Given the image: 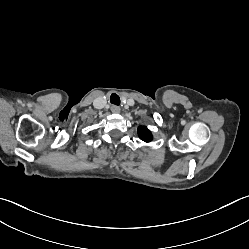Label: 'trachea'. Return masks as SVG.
Instances as JSON below:
<instances>
[{"label":"trachea","instance_id":"trachea-1","mask_svg":"<svg viewBox=\"0 0 249 249\" xmlns=\"http://www.w3.org/2000/svg\"><path fill=\"white\" fill-rule=\"evenodd\" d=\"M110 102L114 105H120V98L117 94L113 93L110 96Z\"/></svg>","mask_w":249,"mask_h":249}]
</instances>
